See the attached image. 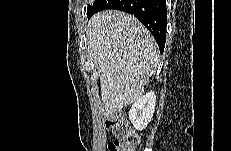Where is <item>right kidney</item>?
Masks as SVG:
<instances>
[{"label":"right kidney","mask_w":231,"mask_h":151,"mask_svg":"<svg viewBox=\"0 0 231 151\" xmlns=\"http://www.w3.org/2000/svg\"><path fill=\"white\" fill-rule=\"evenodd\" d=\"M156 105V95L149 92L140 97L129 111V120L137 130H143L151 121Z\"/></svg>","instance_id":"1"}]
</instances>
